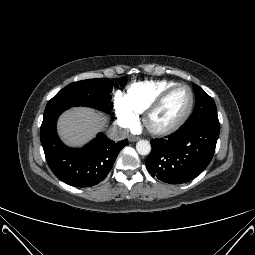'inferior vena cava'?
Segmentation results:
<instances>
[{
  "label": "inferior vena cava",
  "instance_id": "inferior-vena-cava-1",
  "mask_svg": "<svg viewBox=\"0 0 255 255\" xmlns=\"http://www.w3.org/2000/svg\"><path fill=\"white\" fill-rule=\"evenodd\" d=\"M129 132L123 129H118V128H111L108 131V137L114 141H119L122 139H125L128 136Z\"/></svg>",
  "mask_w": 255,
  "mask_h": 255
}]
</instances>
